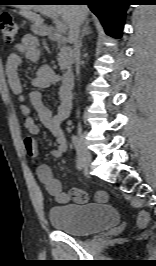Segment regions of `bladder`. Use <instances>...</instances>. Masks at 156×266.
Listing matches in <instances>:
<instances>
[{
  "label": "bladder",
  "mask_w": 156,
  "mask_h": 266,
  "mask_svg": "<svg viewBox=\"0 0 156 266\" xmlns=\"http://www.w3.org/2000/svg\"><path fill=\"white\" fill-rule=\"evenodd\" d=\"M48 217L55 228L74 236L97 233L119 222L117 211L107 204L53 206Z\"/></svg>",
  "instance_id": "bladder-1"
}]
</instances>
